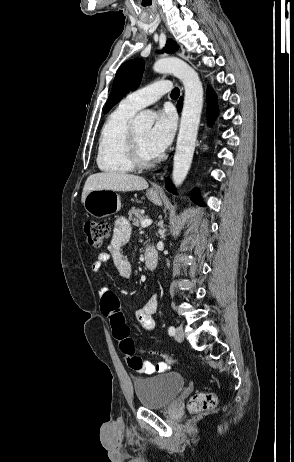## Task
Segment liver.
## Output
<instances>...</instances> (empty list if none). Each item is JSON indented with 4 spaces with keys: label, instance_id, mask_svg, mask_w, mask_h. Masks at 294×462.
<instances>
[{
    "label": "liver",
    "instance_id": "liver-1",
    "mask_svg": "<svg viewBox=\"0 0 294 462\" xmlns=\"http://www.w3.org/2000/svg\"><path fill=\"white\" fill-rule=\"evenodd\" d=\"M148 187L147 181L140 176L120 173L102 172L90 175L84 185L81 201L84 200L91 190L106 189L111 191H135Z\"/></svg>",
    "mask_w": 294,
    "mask_h": 462
}]
</instances>
